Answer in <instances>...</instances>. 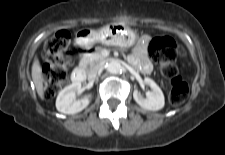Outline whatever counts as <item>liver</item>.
<instances>
[{
	"label": "liver",
	"instance_id": "liver-1",
	"mask_svg": "<svg viewBox=\"0 0 225 155\" xmlns=\"http://www.w3.org/2000/svg\"><path fill=\"white\" fill-rule=\"evenodd\" d=\"M32 80L35 84L38 95L41 98H43L44 96L43 75H42V69H41L38 58H35L32 65Z\"/></svg>",
	"mask_w": 225,
	"mask_h": 155
}]
</instances>
